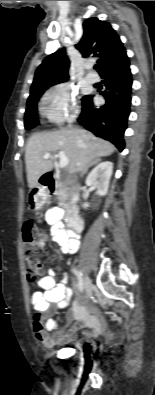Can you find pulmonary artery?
<instances>
[{
  "instance_id": "e3ab8cb5",
  "label": "pulmonary artery",
  "mask_w": 155,
  "mask_h": 395,
  "mask_svg": "<svg viewBox=\"0 0 155 395\" xmlns=\"http://www.w3.org/2000/svg\"><path fill=\"white\" fill-rule=\"evenodd\" d=\"M86 80H87L89 83H95V82H97L98 77H97V75L94 74V73H88V74L86 75Z\"/></svg>"
}]
</instances>
